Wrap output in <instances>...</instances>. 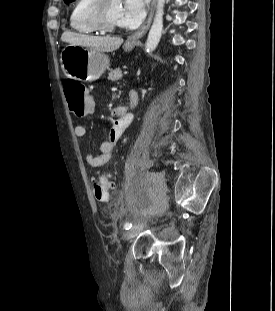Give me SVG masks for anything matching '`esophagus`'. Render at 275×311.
I'll return each instance as SVG.
<instances>
[{"mask_svg": "<svg viewBox=\"0 0 275 311\" xmlns=\"http://www.w3.org/2000/svg\"><path fill=\"white\" fill-rule=\"evenodd\" d=\"M155 4H156V0H152L150 12H149L147 20L134 34H132L131 36L128 37L126 43H128V44L137 43L139 41V39L146 34V32L148 31V29L150 27V24H151L153 15H154Z\"/></svg>", "mask_w": 275, "mask_h": 311, "instance_id": "34e87169", "label": "esophagus"}]
</instances>
